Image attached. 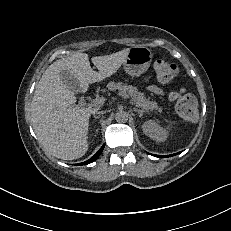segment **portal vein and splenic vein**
<instances>
[{"label":"portal vein and splenic vein","instance_id":"1","mask_svg":"<svg viewBox=\"0 0 231 231\" xmlns=\"http://www.w3.org/2000/svg\"><path fill=\"white\" fill-rule=\"evenodd\" d=\"M119 95L122 96L125 99H128L129 96L125 92H119ZM105 98L104 97H96L95 99L91 100V105L93 106H101L105 103Z\"/></svg>","mask_w":231,"mask_h":231}]
</instances>
